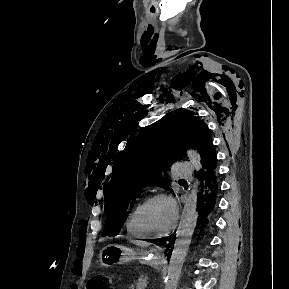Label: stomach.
<instances>
[{
  "label": "stomach",
  "mask_w": 289,
  "mask_h": 289,
  "mask_svg": "<svg viewBox=\"0 0 289 289\" xmlns=\"http://www.w3.org/2000/svg\"><path fill=\"white\" fill-rule=\"evenodd\" d=\"M151 255V258H147V255L144 252H136L122 245L110 244L101 250L100 262L105 267L129 262L132 260H140L149 264H157L159 256L157 253H152Z\"/></svg>",
  "instance_id": "stomach-1"
}]
</instances>
